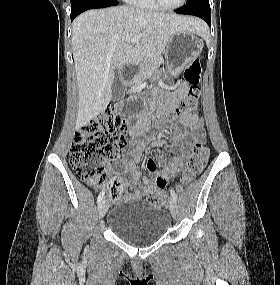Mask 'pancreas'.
Listing matches in <instances>:
<instances>
[{"label":"pancreas","mask_w":280,"mask_h":285,"mask_svg":"<svg viewBox=\"0 0 280 285\" xmlns=\"http://www.w3.org/2000/svg\"><path fill=\"white\" fill-rule=\"evenodd\" d=\"M162 63L163 59L161 57L144 59L139 66L138 74L132 81L130 92L133 93L138 91L143 81L147 79L156 69H158Z\"/></svg>","instance_id":"obj_1"}]
</instances>
